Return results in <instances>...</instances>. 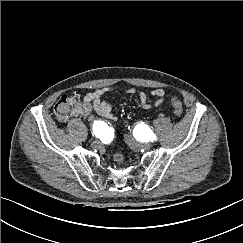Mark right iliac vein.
<instances>
[{
  "instance_id": "1",
  "label": "right iliac vein",
  "mask_w": 243,
  "mask_h": 243,
  "mask_svg": "<svg viewBox=\"0 0 243 243\" xmlns=\"http://www.w3.org/2000/svg\"><path fill=\"white\" fill-rule=\"evenodd\" d=\"M99 145H100V141H99V140H95V141L92 142V146H93L94 148L99 147Z\"/></svg>"
}]
</instances>
